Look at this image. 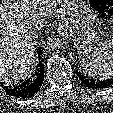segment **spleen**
Here are the masks:
<instances>
[{"label":"spleen","instance_id":"3e777b00","mask_svg":"<svg viewBox=\"0 0 113 113\" xmlns=\"http://www.w3.org/2000/svg\"><path fill=\"white\" fill-rule=\"evenodd\" d=\"M85 73L94 80L113 76V38L101 42L94 50H85L79 57Z\"/></svg>","mask_w":113,"mask_h":113}]
</instances>
